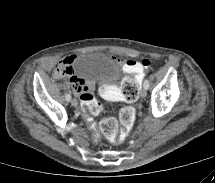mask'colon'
Here are the masks:
<instances>
[{"label":"colon","mask_w":215,"mask_h":183,"mask_svg":"<svg viewBox=\"0 0 215 183\" xmlns=\"http://www.w3.org/2000/svg\"><path fill=\"white\" fill-rule=\"evenodd\" d=\"M141 65L145 68L151 66V62L147 59L142 60ZM69 73V69L65 66L57 68V75L64 76ZM121 94L127 103L134 102L139 94V80L137 78H126L121 86ZM82 106L92 115L101 113L103 107L90 93H84L80 96ZM136 117L135 109L132 106H124L119 113V121L113 117H105L99 123V129L102 134L113 142H121L125 132L132 127Z\"/></svg>","instance_id":"obj_1"}]
</instances>
